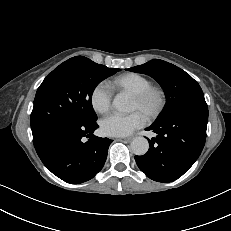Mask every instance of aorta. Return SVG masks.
<instances>
[{"label":"aorta","mask_w":231,"mask_h":231,"mask_svg":"<svg viewBox=\"0 0 231 231\" xmlns=\"http://www.w3.org/2000/svg\"><path fill=\"white\" fill-rule=\"evenodd\" d=\"M112 106L119 112L128 113L132 110L130 101L122 94L115 96ZM131 150L135 155L141 156L149 149L148 140L144 137H135L130 144Z\"/></svg>","instance_id":"762f6f07"}]
</instances>
